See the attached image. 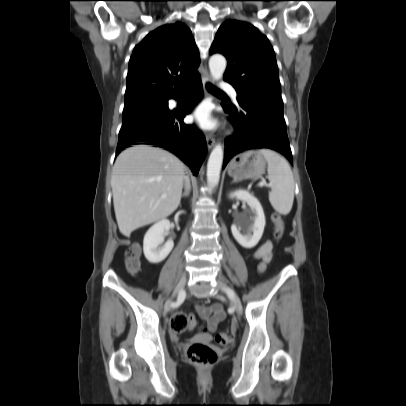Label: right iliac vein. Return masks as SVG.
I'll list each match as a JSON object with an SVG mask.
<instances>
[{
	"mask_svg": "<svg viewBox=\"0 0 406 406\" xmlns=\"http://www.w3.org/2000/svg\"><path fill=\"white\" fill-rule=\"evenodd\" d=\"M185 284H186V277L183 276V277H181V279L179 280L177 286L175 287L171 298H169L166 301V303L164 305V311L165 312H169L171 310L173 299L184 289Z\"/></svg>",
	"mask_w": 406,
	"mask_h": 406,
	"instance_id": "obj_1",
	"label": "right iliac vein"
}]
</instances>
